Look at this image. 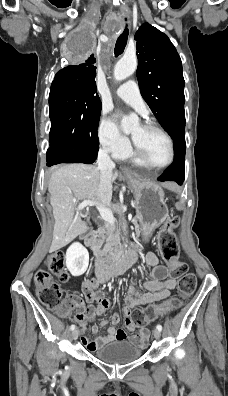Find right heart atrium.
<instances>
[{"mask_svg": "<svg viewBox=\"0 0 228 396\" xmlns=\"http://www.w3.org/2000/svg\"><path fill=\"white\" fill-rule=\"evenodd\" d=\"M97 137L102 149L116 159L124 158L130 151L129 141L118 133L106 116H102L99 121Z\"/></svg>", "mask_w": 228, "mask_h": 396, "instance_id": "d8ad5b80", "label": "right heart atrium"}]
</instances>
